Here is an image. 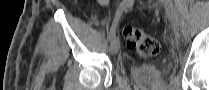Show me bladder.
Segmentation results:
<instances>
[{"instance_id": "31cf9c89", "label": "bladder", "mask_w": 209, "mask_h": 90, "mask_svg": "<svg viewBox=\"0 0 209 90\" xmlns=\"http://www.w3.org/2000/svg\"><path fill=\"white\" fill-rule=\"evenodd\" d=\"M131 76L143 90H150L159 86L164 78L160 66L152 64H138L131 67Z\"/></svg>"}]
</instances>
